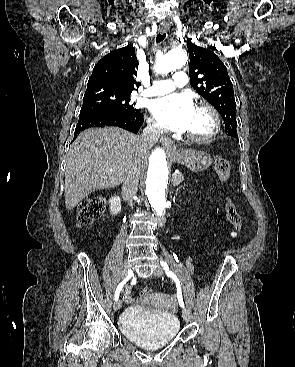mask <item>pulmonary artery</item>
Instances as JSON below:
<instances>
[{
    "mask_svg": "<svg viewBox=\"0 0 295 367\" xmlns=\"http://www.w3.org/2000/svg\"><path fill=\"white\" fill-rule=\"evenodd\" d=\"M188 77L184 71L174 73L172 79L155 81L153 85L144 92L145 96H160L167 94L177 87H183L187 84Z\"/></svg>",
    "mask_w": 295,
    "mask_h": 367,
    "instance_id": "pulmonary-artery-1",
    "label": "pulmonary artery"
}]
</instances>
